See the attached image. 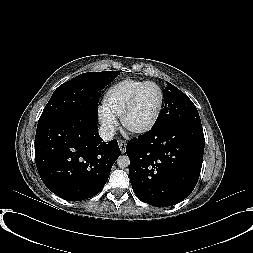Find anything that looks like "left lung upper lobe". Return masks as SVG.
I'll use <instances>...</instances> for the list:
<instances>
[{
	"instance_id": "1",
	"label": "left lung upper lobe",
	"mask_w": 253,
	"mask_h": 253,
	"mask_svg": "<svg viewBox=\"0 0 253 253\" xmlns=\"http://www.w3.org/2000/svg\"><path fill=\"white\" fill-rule=\"evenodd\" d=\"M163 91L165 106L151 129L161 128L178 122H200L199 113L193 102L169 82Z\"/></svg>"
}]
</instances>
